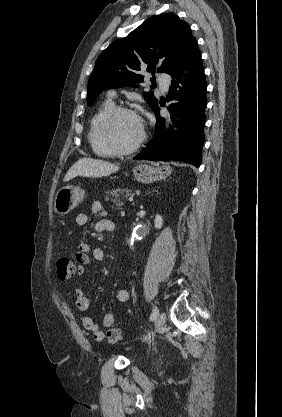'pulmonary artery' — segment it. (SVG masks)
<instances>
[{
    "mask_svg": "<svg viewBox=\"0 0 282 417\" xmlns=\"http://www.w3.org/2000/svg\"><path fill=\"white\" fill-rule=\"evenodd\" d=\"M156 81L158 82V83H163L164 81H165V76L163 75V74H158L157 76H156ZM168 84H169V81H165L164 83H163V85H164V88H167L168 87ZM115 95H116V93H115V91L114 90H110V91H108V93H107V96H108V98H114L115 97Z\"/></svg>",
    "mask_w": 282,
    "mask_h": 417,
    "instance_id": "pulmonary-artery-1",
    "label": "pulmonary artery"
}]
</instances>
